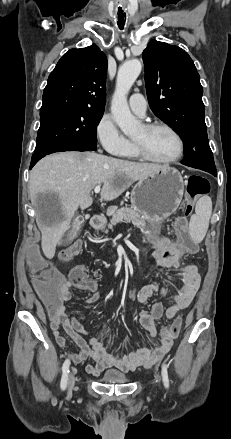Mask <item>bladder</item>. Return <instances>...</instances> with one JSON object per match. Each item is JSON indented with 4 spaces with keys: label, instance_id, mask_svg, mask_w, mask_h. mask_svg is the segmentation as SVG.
Masks as SVG:
<instances>
[{
    "label": "bladder",
    "instance_id": "bladder-1",
    "mask_svg": "<svg viewBox=\"0 0 231 439\" xmlns=\"http://www.w3.org/2000/svg\"><path fill=\"white\" fill-rule=\"evenodd\" d=\"M101 381L106 384H126L129 378L121 371L110 369L104 372Z\"/></svg>",
    "mask_w": 231,
    "mask_h": 439
}]
</instances>
